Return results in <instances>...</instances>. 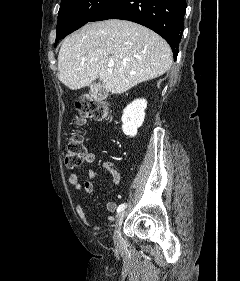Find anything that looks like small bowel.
<instances>
[{
    "label": "small bowel",
    "instance_id": "1",
    "mask_svg": "<svg viewBox=\"0 0 240 281\" xmlns=\"http://www.w3.org/2000/svg\"><path fill=\"white\" fill-rule=\"evenodd\" d=\"M96 159V154L93 152H88L85 161L87 163H93ZM103 167L109 172L112 178V183L115 186H118L120 184V173L115 168V165L112 161H105L103 164ZM98 176V172L94 169H89L87 171V176L84 179H80L77 174H71L68 178V183L71 187H73L77 191H84L85 193H92L94 190V181L96 180ZM106 209L109 212H114L116 209H118L116 203L109 201L106 203ZM76 211L80 219L89 224L91 228L94 231H99L103 229V226H100L96 222H94L92 219H90L81 204H77ZM109 220H112L113 218H108Z\"/></svg>",
    "mask_w": 240,
    "mask_h": 281
}]
</instances>
